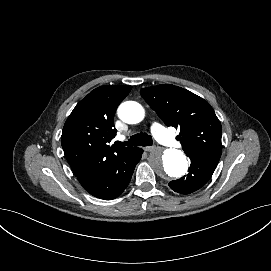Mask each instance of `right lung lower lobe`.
<instances>
[{
    "instance_id": "1",
    "label": "right lung lower lobe",
    "mask_w": 271,
    "mask_h": 271,
    "mask_svg": "<svg viewBox=\"0 0 271 271\" xmlns=\"http://www.w3.org/2000/svg\"><path fill=\"white\" fill-rule=\"evenodd\" d=\"M142 153L141 148H133L127 155L110 162L93 179L82 185L83 188L103 200L118 197L128 186Z\"/></svg>"
}]
</instances>
